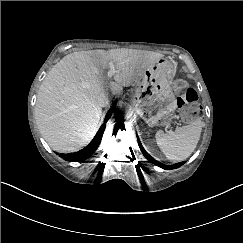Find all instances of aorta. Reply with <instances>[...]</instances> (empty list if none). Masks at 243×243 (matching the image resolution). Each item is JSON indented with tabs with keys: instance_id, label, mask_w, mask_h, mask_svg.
Returning a JSON list of instances; mask_svg holds the SVG:
<instances>
[{
	"instance_id": "1",
	"label": "aorta",
	"mask_w": 243,
	"mask_h": 243,
	"mask_svg": "<svg viewBox=\"0 0 243 243\" xmlns=\"http://www.w3.org/2000/svg\"><path fill=\"white\" fill-rule=\"evenodd\" d=\"M114 109L117 115L123 117L129 114L131 108L128 102L122 100L116 103Z\"/></svg>"
}]
</instances>
